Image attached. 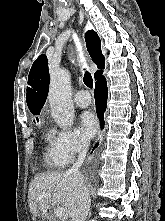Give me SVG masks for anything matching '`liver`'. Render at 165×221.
<instances>
[{
  "label": "liver",
  "instance_id": "6515ba94",
  "mask_svg": "<svg viewBox=\"0 0 165 221\" xmlns=\"http://www.w3.org/2000/svg\"><path fill=\"white\" fill-rule=\"evenodd\" d=\"M47 192L51 198L38 200V195ZM74 193L73 180L65 172H45L33 178L28 190V203L33 218L46 217L49 205L62 206L71 216V201Z\"/></svg>",
  "mask_w": 165,
  "mask_h": 221
}]
</instances>
